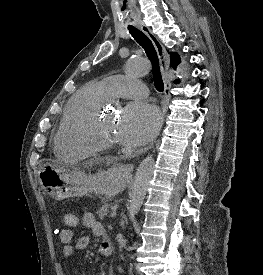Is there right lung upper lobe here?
<instances>
[{
    "label": "right lung upper lobe",
    "mask_w": 263,
    "mask_h": 275,
    "mask_svg": "<svg viewBox=\"0 0 263 275\" xmlns=\"http://www.w3.org/2000/svg\"><path fill=\"white\" fill-rule=\"evenodd\" d=\"M170 58H171V65H172V67L173 68H176V66L179 64V62H180V58H179V56L176 54V53H171V56H170Z\"/></svg>",
    "instance_id": "1"
}]
</instances>
